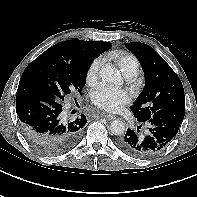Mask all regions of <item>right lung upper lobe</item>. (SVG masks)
<instances>
[{
  "label": "right lung upper lobe",
  "mask_w": 197,
  "mask_h": 197,
  "mask_svg": "<svg viewBox=\"0 0 197 197\" xmlns=\"http://www.w3.org/2000/svg\"><path fill=\"white\" fill-rule=\"evenodd\" d=\"M112 47L111 43L102 41L67 40L53 45L47 52L52 53L58 59L75 64L84 61L91 56H99Z\"/></svg>",
  "instance_id": "1"
}]
</instances>
